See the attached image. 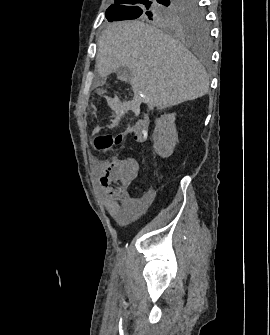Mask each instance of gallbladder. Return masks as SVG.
Returning a JSON list of instances; mask_svg holds the SVG:
<instances>
[{
	"mask_svg": "<svg viewBox=\"0 0 270 335\" xmlns=\"http://www.w3.org/2000/svg\"><path fill=\"white\" fill-rule=\"evenodd\" d=\"M117 76H118V80H122V82H130L132 78V72L130 68H126V66H122V68H118Z\"/></svg>",
	"mask_w": 270,
	"mask_h": 335,
	"instance_id": "1",
	"label": "gallbladder"
}]
</instances>
